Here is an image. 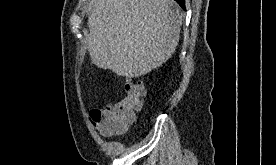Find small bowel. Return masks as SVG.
<instances>
[{"label": "small bowel", "instance_id": "small-bowel-1", "mask_svg": "<svg viewBox=\"0 0 276 165\" xmlns=\"http://www.w3.org/2000/svg\"><path fill=\"white\" fill-rule=\"evenodd\" d=\"M103 111V109H93L91 112H90V116L92 117L93 114H96V113H101ZM93 118V117H92ZM99 130L104 133V134H108L107 130H108V127H107V124L104 122V121H99L97 122V125H96Z\"/></svg>", "mask_w": 276, "mask_h": 165}]
</instances>
